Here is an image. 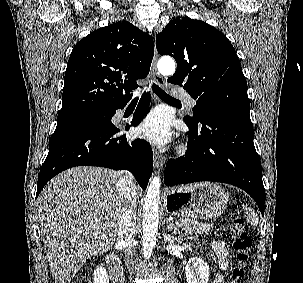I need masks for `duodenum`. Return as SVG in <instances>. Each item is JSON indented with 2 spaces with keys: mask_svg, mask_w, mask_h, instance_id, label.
<instances>
[{
  "mask_svg": "<svg viewBox=\"0 0 303 283\" xmlns=\"http://www.w3.org/2000/svg\"><path fill=\"white\" fill-rule=\"evenodd\" d=\"M106 267L114 283H122L123 268L120 259L115 254L108 255Z\"/></svg>",
  "mask_w": 303,
  "mask_h": 283,
  "instance_id": "410a0bca",
  "label": "duodenum"
}]
</instances>
